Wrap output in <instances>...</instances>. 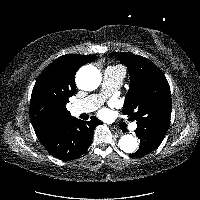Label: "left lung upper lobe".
<instances>
[{"label": "left lung upper lobe", "mask_w": 200, "mask_h": 200, "mask_svg": "<svg viewBox=\"0 0 200 200\" xmlns=\"http://www.w3.org/2000/svg\"><path fill=\"white\" fill-rule=\"evenodd\" d=\"M130 73V89L123 114L137 125H148L167 132L170 125L172 100L170 87L161 70L150 60L132 53H116Z\"/></svg>", "instance_id": "5c2ea615"}]
</instances>
